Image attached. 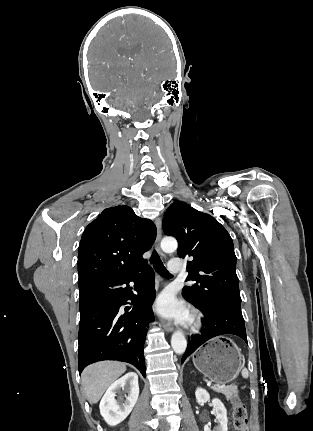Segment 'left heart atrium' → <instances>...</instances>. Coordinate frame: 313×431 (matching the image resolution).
<instances>
[{
    "instance_id": "left-heart-atrium-1",
    "label": "left heart atrium",
    "mask_w": 313,
    "mask_h": 431,
    "mask_svg": "<svg viewBox=\"0 0 313 431\" xmlns=\"http://www.w3.org/2000/svg\"><path fill=\"white\" fill-rule=\"evenodd\" d=\"M155 308L161 316L177 322L185 323L189 320V312L185 305L168 291L158 297Z\"/></svg>"
}]
</instances>
